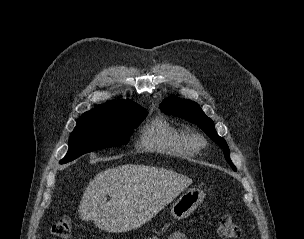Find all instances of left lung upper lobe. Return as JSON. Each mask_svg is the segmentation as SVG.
I'll list each match as a JSON object with an SVG mask.
<instances>
[{"label":"left lung upper lobe","mask_w":304,"mask_h":239,"mask_svg":"<svg viewBox=\"0 0 304 239\" xmlns=\"http://www.w3.org/2000/svg\"><path fill=\"white\" fill-rule=\"evenodd\" d=\"M160 109L168 115L184 118L199 126L214 142L224 149L227 162L236 171V167L230 159L226 141L217 134L213 121L204 114L197 103L172 96L164 100L160 105Z\"/></svg>","instance_id":"obj_1"}]
</instances>
